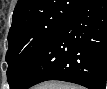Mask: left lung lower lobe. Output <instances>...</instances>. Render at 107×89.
I'll return each instance as SVG.
<instances>
[{"mask_svg":"<svg viewBox=\"0 0 107 89\" xmlns=\"http://www.w3.org/2000/svg\"><path fill=\"white\" fill-rule=\"evenodd\" d=\"M48 80L105 89L107 0H86L52 35L13 89Z\"/></svg>","mask_w":107,"mask_h":89,"instance_id":"0a47b994","label":"left lung lower lobe"}]
</instances>
